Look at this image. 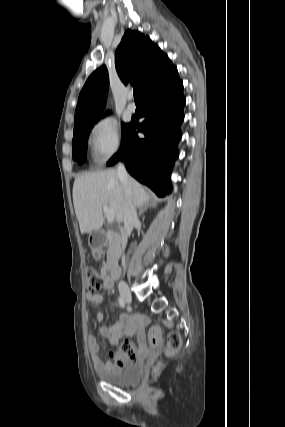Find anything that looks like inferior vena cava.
Masks as SVG:
<instances>
[{
    "label": "inferior vena cava",
    "instance_id": "inferior-vena-cava-1",
    "mask_svg": "<svg viewBox=\"0 0 285 427\" xmlns=\"http://www.w3.org/2000/svg\"><path fill=\"white\" fill-rule=\"evenodd\" d=\"M117 173L125 195L124 228L127 232H131L134 225L138 223V216L133 202L130 177L123 163L118 164Z\"/></svg>",
    "mask_w": 285,
    "mask_h": 427
}]
</instances>
